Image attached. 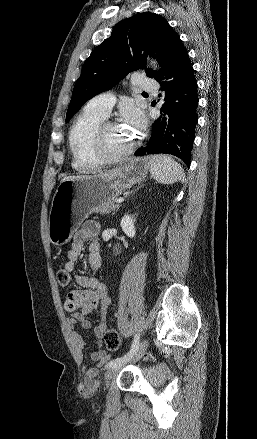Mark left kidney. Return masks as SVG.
<instances>
[{
    "instance_id": "obj_1",
    "label": "left kidney",
    "mask_w": 257,
    "mask_h": 439,
    "mask_svg": "<svg viewBox=\"0 0 257 439\" xmlns=\"http://www.w3.org/2000/svg\"><path fill=\"white\" fill-rule=\"evenodd\" d=\"M134 222L135 219L133 217L125 215L120 223L123 232L130 238H133L136 234Z\"/></svg>"
}]
</instances>
